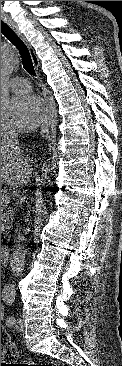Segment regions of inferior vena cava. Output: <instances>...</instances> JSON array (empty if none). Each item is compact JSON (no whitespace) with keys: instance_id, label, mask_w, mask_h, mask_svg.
I'll list each match as a JSON object with an SVG mask.
<instances>
[{"instance_id":"1","label":"inferior vena cava","mask_w":122,"mask_h":366,"mask_svg":"<svg viewBox=\"0 0 122 366\" xmlns=\"http://www.w3.org/2000/svg\"><path fill=\"white\" fill-rule=\"evenodd\" d=\"M4 139L6 140V144L8 147L13 149H20L19 144L17 141L18 133L17 132H6L3 135ZM17 237H16V244L13 246V253H12V260L11 266L14 270V264L17 265L19 262H23L25 258L24 254V247L22 246L21 242L24 241V237L20 233V229H16Z\"/></svg>"}]
</instances>
